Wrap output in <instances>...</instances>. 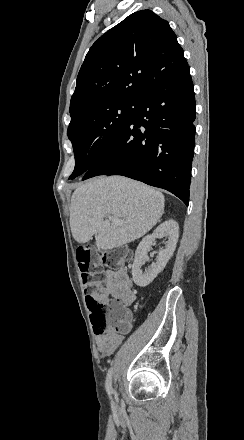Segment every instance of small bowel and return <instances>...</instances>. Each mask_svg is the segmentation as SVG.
I'll return each instance as SVG.
<instances>
[{"label":"small bowel","instance_id":"small-bowel-1","mask_svg":"<svg viewBox=\"0 0 244 440\" xmlns=\"http://www.w3.org/2000/svg\"><path fill=\"white\" fill-rule=\"evenodd\" d=\"M90 298L96 300H109L114 298L124 305L131 306L136 300L132 280L127 268L118 270H105L103 272V283L99 288L87 296V303ZM133 320V315H132ZM132 329V327H130ZM124 338H113L107 331L102 335H97L96 344L102 357L111 356L122 344Z\"/></svg>","mask_w":244,"mask_h":440}]
</instances>
